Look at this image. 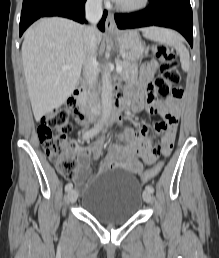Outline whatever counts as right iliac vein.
I'll return each mask as SVG.
<instances>
[{
	"mask_svg": "<svg viewBox=\"0 0 219 258\" xmlns=\"http://www.w3.org/2000/svg\"><path fill=\"white\" fill-rule=\"evenodd\" d=\"M77 197H78V194L76 192V190L74 189H71L69 192H68V199L71 203H74L76 200H77Z\"/></svg>",
	"mask_w": 219,
	"mask_h": 258,
	"instance_id": "1",
	"label": "right iliac vein"
}]
</instances>
